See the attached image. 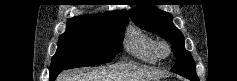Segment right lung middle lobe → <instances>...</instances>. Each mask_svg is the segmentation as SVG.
<instances>
[{
    "mask_svg": "<svg viewBox=\"0 0 237 81\" xmlns=\"http://www.w3.org/2000/svg\"><path fill=\"white\" fill-rule=\"evenodd\" d=\"M128 22L108 24L69 22L60 36L50 74L63 70L110 62L122 51V39Z\"/></svg>",
    "mask_w": 237,
    "mask_h": 81,
    "instance_id": "obj_1",
    "label": "right lung middle lobe"
}]
</instances>
